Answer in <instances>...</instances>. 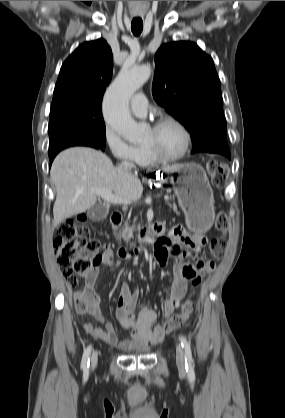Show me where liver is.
<instances>
[{"label":"liver","instance_id":"6515ba94","mask_svg":"<svg viewBox=\"0 0 285 418\" xmlns=\"http://www.w3.org/2000/svg\"><path fill=\"white\" fill-rule=\"evenodd\" d=\"M51 180L56 189L54 227L94 206L98 197L95 189L111 191L129 201L140 199L143 192L137 176L130 175L121 165L115 167L101 151L87 147H73L59 153L51 166Z\"/></svg>","mask_w":285,"mask_h":418}]
</instances>
